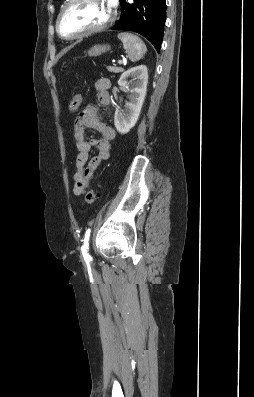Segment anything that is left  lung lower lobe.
I'll return each instance as SVG.
<instances>
[{
	"mask_svg": "<svg viewBox=\"0 0 254 397\" xmlns=\"http://www.w3.org/2000/svg\"><path fill=\"white\" fill-rule=\"evenodd\" d=\"M122 12L112 30L135 31L146 37L160 51L166 20V0H120Z\"/></svg>",
	"mask_w": 254,
	"mask_h": 397,
	"instance_id": "left-lung-lower-lobe-1",
	"label": "left lung lower lobe"
}]
</instances>
